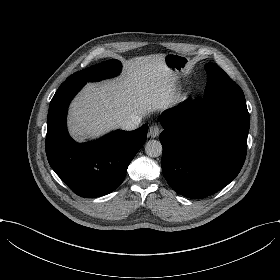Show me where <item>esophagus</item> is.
Segmentation results:
<instances>
[{"instance_id": "obj_1", "label": "esophagus", "mask_w": 280, "mask_h": 280, "mask_svg": "<svg viewBox=\"0 0 280 280\" xmlns=\"http://www.w3.org/2000/svg\"><path fill=\"white\" fill-rule=\"evenodd\" d=\"M160 133V128L157 125H153L150 127L148 136L150 138H156Z\"/></svg>"}]
</instances>
